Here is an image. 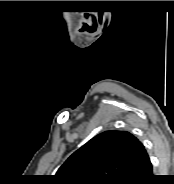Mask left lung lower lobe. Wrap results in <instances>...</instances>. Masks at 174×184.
<instances>
[{
    "instance_id": "0a47b994",
    "label": "left lung lower lobe",
    "mask_w": 174,
    "mask_h": 184,
    "mask_svg": "<svg viewBox=\"0 0 174 184\" xmlns=\"http://www.w3.org/2000/svg\"><path fill=\"white\" fill-rule=\"evenodd\" d=\"M153 178L150 159L144 146L141 144L133 162L129 179L125 184H150Z\"/></svg>"
}]
</instances>
